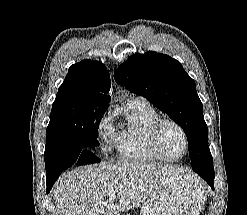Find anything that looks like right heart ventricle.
Wrapping results in <instances>:
<instances>
[{"label":"right heart ventricle","mask_w":247,"mask_h":215,"mask_svg":"<svg viewBox=\"0 0 247 215\" xmlns=\"http://www.w3.org/2000/svg\"><path fill=\"white\" fill-rule=\"evenodd\" d=\"M125 122L116 129L111 143L118 158L133 163H151L162 160L153 151L148 131L160 115L148 102L129 101L124 108Z\"/></svg>","instance_id":"1"}]
</instances>
